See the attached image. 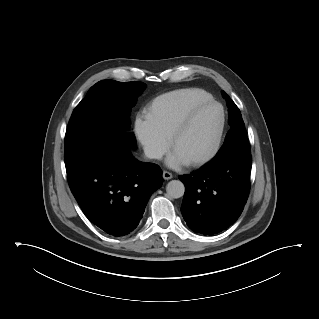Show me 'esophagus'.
<instances>
[{
	"label": "esophagus",
	"instance_id": "obj_1",
	"mask_svg": "<svg viewBox=\"0 0 319 319\" xmlns=\"http://www.w3.org/2000/svg\"><path fill=\"white\" fill-rule=\"evenodd\" d=\"M163 178H164L165 180H170V179L173 178V174L170 173V172H168V171H163Z\"/></svg>",
	"mask_w": 319,
	"mask_h": 319
}]
</instances>
